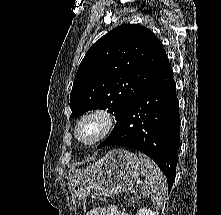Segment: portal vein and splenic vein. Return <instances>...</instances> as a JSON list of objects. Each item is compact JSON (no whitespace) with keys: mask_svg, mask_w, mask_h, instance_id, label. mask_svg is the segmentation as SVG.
Segmentation results:
<instances>
[{"mask_svg":"<svg viewBox=\"0 0 221 215\" xmlns=\"http://www.w3.org/2000/svg\"><path fill=\"white\" fill-rule=\"evenodd\" d=\"M133 193L136 194L137 192H136V191H133Z\"/></svg>","mask_w":221,"mask_h":215,"instance_id":"obj_1","label":"portal vein and splenic vein"}]
</instances>
